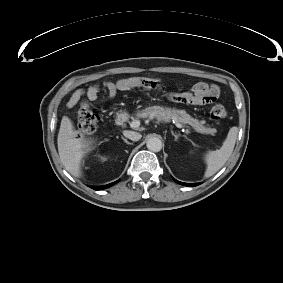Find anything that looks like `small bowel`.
<instances>
[{
  "label": "small bowel",
  "instance_id": "small-bowel-1",
  "mask_svg": "<svg viewBox=\"0 0 283 283\" xmlns=\"http://www.w3.org/2000/svg\"><path fill=\"white\" fill-rule=\"evenodd\" d=\"M149 83H154L149 81ZM137 85V81L133 78H121L115 82H106L103 87L106 89L109 98H114L119 91L130 89ZM99 94V87L96 85L90 86L86 91L83 89L76 90L67 102L69 108L74 107L81 100L83 95H86L90 102L97 99ZM218 94V89L216 86H209L205 83H197L193 88L192 95H185L175 93L171 95V99L180 103H190L191 100L197 104L201 105L206 102H212L216 99Z\"/></svg>",
  "mask_w": 283,
  "mask_h": 283
}]
</instances>
